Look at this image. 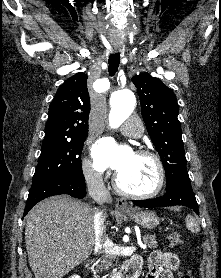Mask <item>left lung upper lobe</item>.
Listing matches in <instances>:
<instances>
[{
    "mask_svg": "<svg viewBox=\"0 0 221 278\" xmlns=\"http://www.w3.org/2000/svg\"><path fill=\"white\" fill-rule=\"evenodd\" d=\"M132 81L137 87L148 134L164 165L166 187H169L177 179L188 176L176 96L160 79L146 72L134 76Z\"/></svg>",
    "mask_w": 221,
    "mask_h": 278,
    "instance_id": "left-lung-upper-lobe-1",
    "label": "left lung upper lobe"
}]
</instances>
